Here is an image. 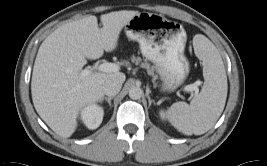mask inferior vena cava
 Returning <instances> with one entry per match:
<instances>
[{
    "label": "inferior vena cava",
    "mask_w": 267,
    "mask_h": 166,
    "mask_svg": "<svg viewBox=\"0 0 267 166\" xmlns=\"http://www.w3.org/2000/svg\"><path fill=\"white\" fill-rule=\"evenodd\" d=\"M122 82L118 79H109L103 85V92L107 96H115L119 93Z\"/></svg>",
    "instance_id": "obj_1"
}]
</instances>
